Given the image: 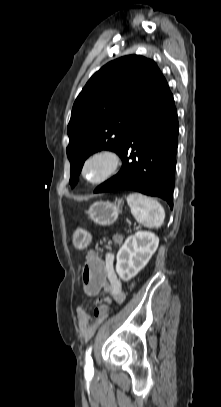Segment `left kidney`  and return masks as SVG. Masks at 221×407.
Returning <instances> with one entry per match:
<instances>
[{"label": "left kidney", "mask_w": 221, "mask_h": 407, "mask_svg": "<svg viewBox=\"0 0 221 407\" xmlns=\"http://www.w3.org/2000/svg\"><path fill=\"white\" fill-rule=\"evenodd\" d=\"M159 238L152 232L138 231L129 236L117 253L116 272L123 281L135 277L158 248Z\"/></svg>", "instance_id": "1"}]
</instances>
